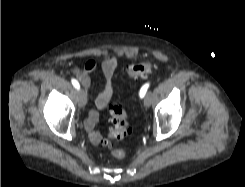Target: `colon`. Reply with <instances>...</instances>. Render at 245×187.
I'll return each mask as SVG.
<instances>
[{"label": "colon", "mask_w": 245, "mask_h": 187, "mask_svg": "<svg viewBox=\"0 0 245 187\" xmlns=\"http://www.w3.org/2000/svg\"><path fill=\"white\" fill-rule=\"evenodd\" d=\"M156 65L152 61L134 63L127 68V74L130 77H144L155 69ZM109 113L112 123L111 136L115 139H123L131 133V126L128 122V114L120 104H113L109 107ZM115 158L121 159L125 152L121 149L112 150Z\"/></svg>", "instance_id": "5ec220e1"}]
</instances>
